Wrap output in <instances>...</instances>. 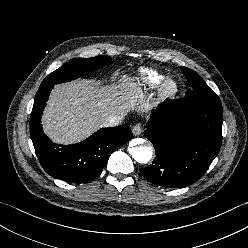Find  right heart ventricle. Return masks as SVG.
Segmentation results:
<instances>
[{
    "mask_svg": "<svg viewBox=\"0 0 248 248\" xmlns=\"http://www.w3.org/2000/svg\"><path fill=\"white\" fill-rule=\"evenodd\" d=\"M145 75L147 83L153 87L159 86L166 78L163 74L153 70L146 71Z\"/></svg>",
    "mask_w": 248,
    "mask_h": 248,
    "instance_id": "right-heart-ventricle-1",
    "label": "right heart ventricle"
}]
</instances>
